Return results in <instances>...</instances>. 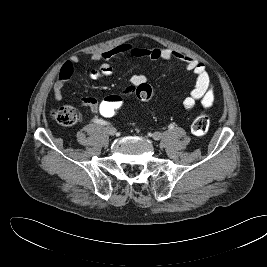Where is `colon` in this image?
<instances>
[{
    "label": "colon",
    "instance_id": "1",
    "mask_svg": "<svg viewBox=\"0 0 267 267\" xmlns=\"http://www.w3.org/2000/svg\"><path fill=\"white\" fill-rule=\"evenodd\" d=\"M137 98L142 102L151 101L154 96L153 88L146 84H140L135 88ZM126 107V98L120 93H112L99 102L98 113L105 118H113ZM52 118L61 125L71 126L78 120L77 111L71 106H61L51 112ZM210 126V119L206 113L199 114L192 123V132L201 136L204 135Z\"/></svg>",
    "mask_w": 267,
    "mask_h": 267
}]
</instances>
